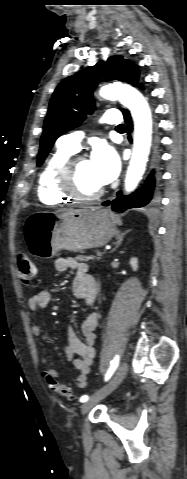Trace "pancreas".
<instances>
[{
  "label": "pancreas",
  "mask_w": 187,
  "mask_h": 479,
  "mask_svg": "<svg viewBox=\"0 0 187 479\" xmlns=\"http://www.w3.org/2000/svg\"><path fill=\"white\" fill-rule=\"evenodd\" d=\"M76 259L79 260V261H88L90 259H95V258H89V257L84 256V255H78V256H76ZM97 260H99V258H97Z\"/></svg>",
  "instance_id": "pancreas-1"
}]
</instances>
